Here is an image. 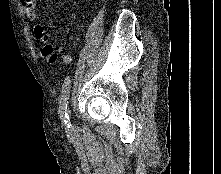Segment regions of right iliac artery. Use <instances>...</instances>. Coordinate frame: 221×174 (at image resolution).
<instances>
[{
	"label": "right iliac artery",
	"instance_id": "right-iliac-artery-1",
	"mask_svg": "<svg viewBox=\"0 0 221 174\" xmlns=\"http://www.w3.org/2000/svg\"><path fill=\"white\" fill-rule=\"evenodd\" d=\"M70 79L69 77L65 78L64 84L62 87V94L60 99V117L62 121L70 127L69 124V116L67 114V107H68V99H69V93H70Z\"/></svg>",
	"mask_w": 221,
	"mask_h": 174
}]
</instances>
